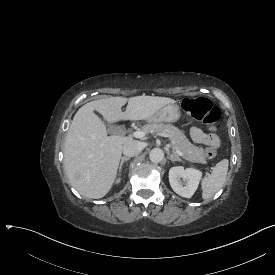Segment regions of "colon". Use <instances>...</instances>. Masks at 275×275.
Here are the masks:
<instances>
[{"instance_id":"5ec220e1","label":"colon","mask_w":275,"mask_h":275,"mask_svg":"<svg viewBox=\"0 0 275 275\" xmlns=\"http://www.w3.org/2000/svg\"><path fill=\"white\" fill-rule=\"evenodd\" d=\"M181 109L186 116L203 123L212 135L215 134L217 129L215 123L220 118L221 111L218 107L213 106L208 98H186L181 102ZM216 155L217 149L214 146L205 150V156L209 159L215 158Z\"/></svg>"}]
</instances>
